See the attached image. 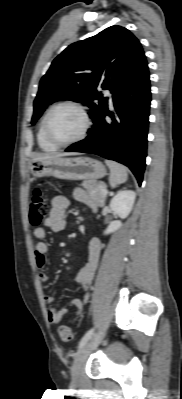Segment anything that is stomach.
Returning a JSON list of instances; mask_svg holds the SVG:
<instances>
[{
  "label": "stomach",
  "mask_w": 182,
  "mask_h": 399,
  "mask_svg": "<svg viewBox=\"0 0 182 399\" xmlns=\"http://www.w3.org/2000/svg\"><path fill=\"white\" fill-rule=\"evenodd\" d=\"M30 169L34 179L53 176L64 180H96L106 174L105 166L89 157L35 160Z\"/></svg>",
  "instance_id": "1"
}]
</instances>
